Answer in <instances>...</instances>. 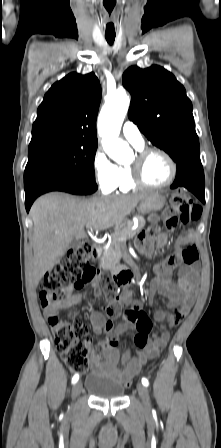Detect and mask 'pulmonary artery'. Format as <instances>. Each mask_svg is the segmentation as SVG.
<instances>
[{
  "label": "pulmonary artery",
  "mask_w": 221,
  "mask_h": 448,
  "mask_svg": "<svg viewBox=\"0 0 221 448\" xmlns=\"http://www.w3.org/2000/svg\"><path fill=\"white\" fill-rule=\"evenodd\" d=\"M124 138L131 143L135 148H143L145 141L142 133L137 125L131 121H126L122 128Z\"/></svg>",
  "instance_id": "1"
}]
</instances>
